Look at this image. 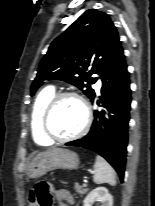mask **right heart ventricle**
<instances>
[{"mask_svg":"<svg viewBox=\"0 0 155 206\" xmlns=\"http://www.w3.org/2000/svg\"><path fill=\"white\" fill-rule=\"evenodd\" d=\"M54 95V88L51 86L46 87L37 95L32 105L30 121L31 132L34 141L39 145L47 146L52 143V141H50L42 132L41 116L44 111V108Z\"/></svg>","mask_w":155,"mask_h":206,"instance_id":"1","label":"right heart ventricle"}]
</instances>
